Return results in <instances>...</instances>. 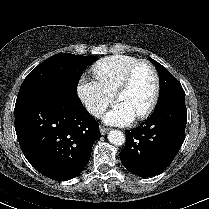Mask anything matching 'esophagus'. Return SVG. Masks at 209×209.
<instances>
[{
	"mask_svg": "<svg viewBox=\"0 0 209 209\" xmlns=\"http://www.w3.org/2000/svg\"><path fill=\"white\" fill-rule=\"evenodd\" d=\"M108 128L104 127V126H100V132L102 135H105L108 132Z\"/></svg>",
	"mask_w": 209,
	"mask_h": 209,
	"instance_id": "esophagus-1",
	"label": "esophagus"
}]
</instances>
